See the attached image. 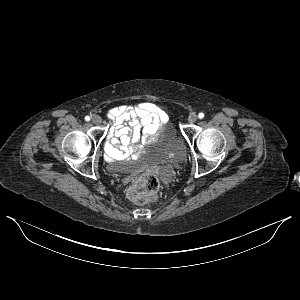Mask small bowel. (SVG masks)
<instances>
[{
	"instance_id": "1",
	"label": "small bowel",
	"mask_w": 300,
	"mask_h": 300,
	"mask_svg": "<svg viewBox=\"0 0 300 300\" xmlns=\"http://www.w3.org/2000/svg\"><path fill=\"white\" fill-rule=\"evenodd\" d=\"M107 116L112 126L105 152L112 159L137 154L144 145L153 143L168 120L166 112L150 102L116 106Z\"/></svg>"
}]
</instances>
